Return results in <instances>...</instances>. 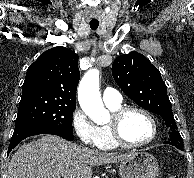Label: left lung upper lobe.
<instances>
[{"label":"left lung upper lobe","instance_id":"left-lung-upper-lobe-1","mask_svg":"<svg viewBox=\"0 0 194 178\" xmlns=\"http://www.w3.org/2000/svg\"><path fill=\"white\" fill-rule=\"evenodd\" d=\"M112 74L129 98L159 115L170 129L177 130L166 85L159 70L144 55L131 52L119 56L112 65Z\"/></svg>","mask_w":194,"mask_h":178}]
</instances>
